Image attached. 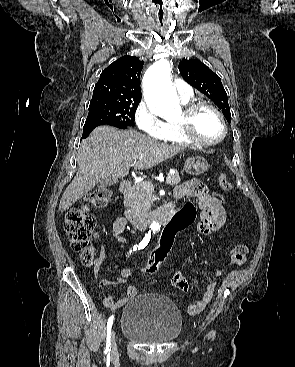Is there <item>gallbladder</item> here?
<instances>
[{
	"label": "gallbladder",
	"mask_w": 295,
	"mask_h": 367,
	"mask_svg": "<svg viewBox=\"0 0 295 367\" xmlns=\"http://www.w3.org/2000/svg\"><path fill=\"white\" fill-rule=\"evenodd\" d=\"M117 181L115 180V179H111V178H109V179H106V180H103V181H101V182H99L98 184H97V187L100 189V188H105V187H108V186H110V185H112V184H115Z\"/></svg>",
	"instance_id": "gallbladder-1"
}]
</instances>
